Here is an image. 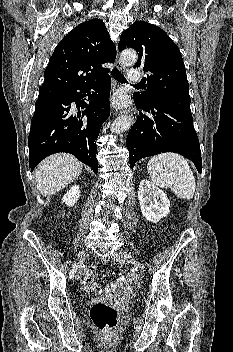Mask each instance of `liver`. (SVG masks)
Here are the masks:
<instances>
[{"instance_id": "6515ba94", "label": "liver", "mask_w": 233, "mask_h": 352, "mask_svg": "<svg viewBox=\"0 0 233 352\" xmlns=\"http://www.w3.org/2000/svg\"><path fill=\"white\" fill-rule=\"evenodd\" d=\"M81 171L82 164L74 156L54 154L36 167L37 188L43 196L53 195L72 183Z\"/></svg>"}]
</instances>
